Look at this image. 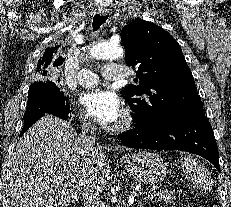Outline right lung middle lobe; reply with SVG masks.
I'll list each match as a JSON object with an SVG mask.
<instances>
[{
	"label": "right lung middle lobe",
	"instance_id": "1",
	"mask_svg": "<svg viewBox=\"0 0 231 207\" xmlns=\"http://www.w3.org/2000/svg\"><path fill=\"white\" fill-rule=\"evenodd\" d=\"M42 85H43V82H36L30 86L29 92H28V101H31L35 97V92H36L35 89Z\"/></svg>",
	"mask_w": 231,
	"mask_h": 207
}]
</instances>
